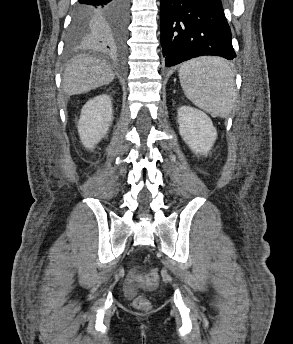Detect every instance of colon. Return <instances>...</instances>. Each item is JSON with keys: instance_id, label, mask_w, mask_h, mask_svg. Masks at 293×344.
Here are the masks:
<instances>
[{"instance_id": "5ec220e1", "label": "colon", "mask_w": 293, "mask_h": 344, "mask_svg": "<svg viewBox=\"0 0 293 344\" xmlns=\"http://www.w3.org/2000/svg\"><path fill=\"white\" fill-rule=\"evenodd\" d=\"M131 277L133 280H139L141 275L137 272H133ZM148 279L151 282H156L158 280V273L156 271H152L149 274ZM133 305L136 309L145 311L150 308V301L144 295H139L134 299Z\"/></svg>"}]
</instances>
